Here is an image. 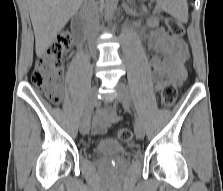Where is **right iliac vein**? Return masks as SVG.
I'll use <instances>...</instances> for the list:
<instances>
[{"instance_id": "1", "label": "right iliac vein", "mask_w": 223, "mask_h": 191, "mask_svg": "<svg viewBox=\"0 0 223 191\" xmlns=\"http://www.w3.org/2000/svg\"><path fill=\"white\" fill-rule=\"evenodd\" d=\"M98 90V83H95L93 88L88 94L87 101H86V111L83 114V117L80 122V132L82 135H87L90 130V116L91 111L96 103V94Z\"/></svg>"}]
</instances>
